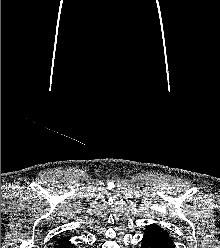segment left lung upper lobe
Segmentation results:
<instances>
[{
  "mask_svg": "<svg viewBox=\"0 0 220 248\" xmlns=\"http://www.w3.org/2000/svg\"><path fill=\"white\" fill-rule=\"evenodd\" d=\"M150 226L156 228V229L160 232V234H161L163 237H165L167 240L172 241L171 237L169 236V234L167 233L166 230H163V229L160 228L157 224H153V225H150Z\"/></svg>",
  "mask_w": 220,
  "mask_h": 248,
  "instance_id": "1",
  "label": "left lung upper lobe"
}]
</instances>
